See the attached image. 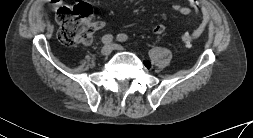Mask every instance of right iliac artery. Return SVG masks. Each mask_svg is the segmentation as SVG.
<instances>
[{
    "instance_id": "obj_1",
    "label": "right iliac artery",
    "mask_w": 253,
    "mask_h": 138,
    "mask_svg": "<svg viewBox=\"0 0 253 138\" xmlns=\"http://www.w3.org/2000/svg\"><path fill=\"white\" fill-rule=\"evenodd\" d=\"M103 44H110L113 41V36L111 34H106L102 37Z\"/></svg>"
}]
</instances>
